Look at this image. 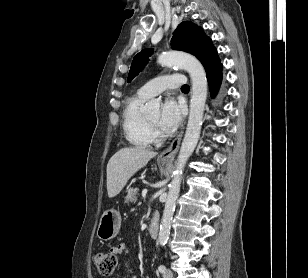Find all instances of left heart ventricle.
Returning <instances> with one entry per match:
<instances>
[{
	"label": "left heart ventricle",
	"instance_id": "left-heart-ventricle-1",
	"mask_svg": "<svg viewBox=\"0 0 308 278\" xmlns=\"http://www.w3.org/2000/svg\"><path fill=\"white\" fill-rule=\"evenodd\" d=\"M147 118H148L151 122L157 123L158 118H159V112H154V113L148 115Z\"/></svg>",
	"mask_w": 308,
	"mask_h": 278
}]
</instances>
